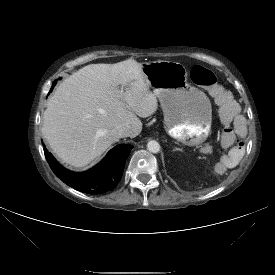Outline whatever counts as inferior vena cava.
Wrapping results in <instances>:
<instances>
[{"label": "inferior vena cava", "instance_id": "602c4592", "mask_svg": "<svg viewBox=\"0 0 275 275\" xmlns=\"http://www.w3.org/2000/svg\"><path fill=\"white\" fill-rule=\"evenodd\" d=\"M111 135L117 141L119 138L129 136V129L126 126L120 125L112 129Z\"/></svg>", "mask_w": 275, "mask_h": 275}]
</instances>
